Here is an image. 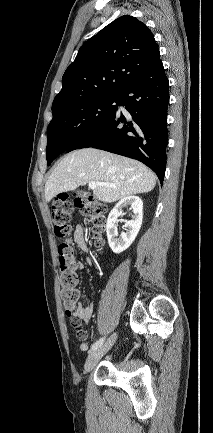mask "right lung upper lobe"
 <instances>
[{
  "label": "right lung upper lobe",
  "mask_w": 213,
  "mask_h": 433,
  "mask_svg": "<svg viewBox=\"0 0 213 433\" xmlns=\"http://www.w3.org/2000/svg\"><path fill=\"white\" fill-rule=\"evenodd\" d=\"M149 28L125 15L111 22L82 45L62 77L52 113L98 95H121L159 58Z\"/></svg>",
  "instance_id": "obj_1"
}]
</instances>
